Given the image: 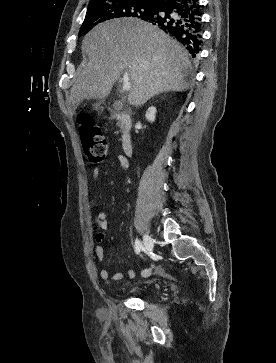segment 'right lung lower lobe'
I'll return each instance as SVG.
<instances>
[{
  "label": "right lung lower lobe",
  "mask_w": 276,
  "mask_h": 363,
  "mask_svg": "<svg viewBox=\"0 0 276 363\" xmlns=\"http://www.w3.org/2000/svg\"><path fill=\"white\" fill-rule=\"evenodd\" d=\"M201 15L198 0H164L156 14L145 21L176 38L196 57L202 42Z\"/></svg>",
  "instance_id": "1"
}]
</instances>
